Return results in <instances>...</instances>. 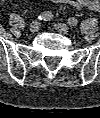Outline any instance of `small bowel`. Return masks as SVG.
<instances>
[{
	"label": "small bowel",
	"mask_w": 100,
	"mask_h": 118,
	"mask_svg": "<svg viewBox=\"0 0 100 118\" xmlns=\"http://www.w3.org/2000/svg\"><path fill=\"white\" fill-rule=\"evenodd\" d=\"M1 1H6V0H1ZM49 1L57 4H68L78 10L85 8L94 12H98L100 10V0H49Z\"/></svg>",
	"instance_id": "c3829d8e"
}]
</instances>
